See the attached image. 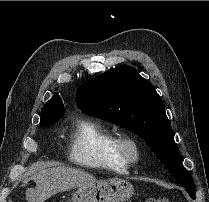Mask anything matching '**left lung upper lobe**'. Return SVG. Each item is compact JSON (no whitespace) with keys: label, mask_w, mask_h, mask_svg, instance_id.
<instances>
[{"label":"left lung upper lobe","mask_w":209,"mask_h":202,"mask_svg":"<svg viewBox=\"0 0 209 202\" xmlns=\"http://www.w3.org/2000/svg\"><path fill=\"white\" fill-rule=\"evenodd\" d=\"M76 104L82 113L116 123L140 136L195 198L194 181L182 165L164 103L135 68L121 65L87 80L77 89Z\"/></svg>","instance_id":"5c2ea615"}]
</instances>
